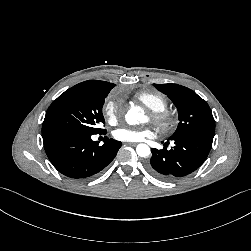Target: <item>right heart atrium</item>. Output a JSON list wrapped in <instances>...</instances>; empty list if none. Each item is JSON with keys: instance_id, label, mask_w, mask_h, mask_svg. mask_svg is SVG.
<instances>
[{"instance_id": "obj_1", "label": "right heart atrium", "mask_w": 251, "mask_h": 251, "mask_svg": "<svg viewBox=\"0 0 251 251\" xmlns=\"http://www.w3.org/2000/svg\"><path fill=\"white\" fill-rule=\"evenodd\" d=\"M122 113V106L119 101L108 100L103 108V114L110 123H115Z\"/></svg>"}]
</instances>
